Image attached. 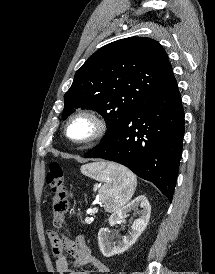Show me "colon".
Returning <instances> with one entry per match:
<instances>
[{
    "mask_svg": "<svg viewBox=\"0 0 215 274\" xmlns=\"http://www.w3.org/2000/svg\"><path fill=\"white\" fill-rule=\"evenodd\" d=\"M46 182L53 191L52 212L53 225L61 228L64 221V215L68 209V191L64 185V173L62 166L58 162H51L46 176ZM50 238H55L56 234L49 233Z\"/></svg>",
    "mask_w": 215,
    "mask_h": 274,
    "instance_id": "1",
    "label": "colon"
}]
</instances>
